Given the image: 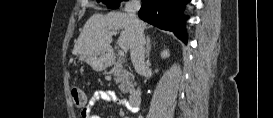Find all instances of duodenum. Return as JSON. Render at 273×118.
Returning a JSON list of instances; mask_svg holds the SVG:
<instances>
[{"mask_svg": "<svg viewBox=\"0 0 273 118\" xmlns=\"http://www.w3.org/2000/svg\"><path fill=\"white\" fill-rule=\"evenodd\" d=\"M142 99V91L140 88L135 87L128 93V102L132 108H136Z\"/></svg>", "mask_w": 273, "mask_h": 118, "instance_id": "obj_1", "label": "duodenum"}]
</instances>
